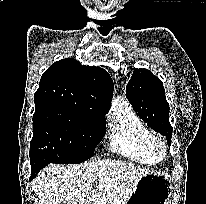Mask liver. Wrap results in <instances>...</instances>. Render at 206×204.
<instances>
[{
    "instance_id": "obj_1",
    "label": "liver",
    "mask_w": 206,
    "mask_h": 204,
    "mask_svg": "<svg viewBox=\"0 0 206 204\" xmlns=\"http://www.w3.org/2000/svg\"><path fill=\"white\" fill-rule=\"evenodd\" d=\"M150 172L117 160L49 165L32 182L38 204H126L138 181ZM98 180V186L93 183Z\"/></svg>"
}]
</instances>
